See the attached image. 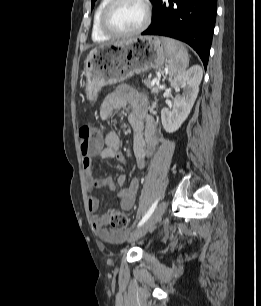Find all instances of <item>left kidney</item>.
Returning <instances> with one entry per match:
<instances>
[{
	"label": "left kidney",
	"mask_w": 261,
	"mask_h": 306,
	"mask_svg": "<svg viewBox=\"0 0 261 306\" xmlns=\"http://www.w3.org/2000/svg\"><path fill=\"white\" fill-rule=\"evenodd\" d=\"M202 77V68L199 65H194L171 81V87L177 95L174 99L173 109L163 108L161 111V121L166 132L177 131L187 119L197 98ZM181 88L185 89L182 94H179Z\"/></svg>",
	"instance_id": "5707ae66"
}]
</instances>
